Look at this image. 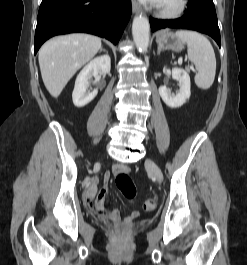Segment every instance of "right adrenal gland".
<instances>
[{"label": "right adrenal gland", "instance_id": "right-adrenal-gland-1", "mask_svg": "<svg viewBox=\"0 0 247 265\" xmlns=\"http://www.w3.org/2000/svg\"><path fill=\"white\" fill-rule=\"evenodd\" d=\"M101 51L107 52V51H106L105 49H103V48L100 49V52H101Z\"/></svg>", "mask_w": 247, "mask_h": 265}]
</instances>
